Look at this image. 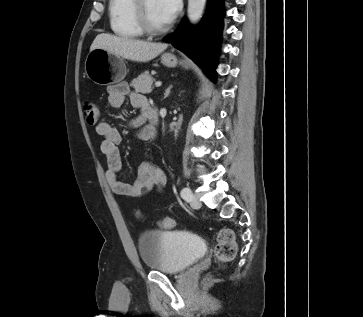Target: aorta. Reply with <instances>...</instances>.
Instances as JSON below:
<instances>
[{"label":"aorta","mask_w":363,"mask_h":317,"mask_svg":"<svg viewBox=\"0 0 363 317\" xmlns=\"http://www.w3.org/2000/svg\"><path fill=\"white\" fill-rule=\"evenodd\" d=\"M206 0H188V19L192 24H197L203 14Z\"/></svg>","instance_id":"762f6f07"}]
</instances>
